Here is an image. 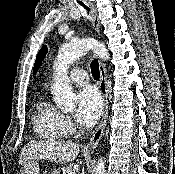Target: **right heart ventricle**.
I'll return each mask as SVG.
<instances>
[{"label":"right heart ventricle","instance_id":"e07e8e85","mask_svg":"<svg viewBox=\"0 0 175 174\" xmlns=\"http://www.w3.org/2000/svg\"><path fill=\"white\" fill-rule=\"evenodd\" d=\"M34 131L46 140H60L66 137L65 116L47 96H41L35 106Z\"/></svg>","mask_w":175,"mask_h":174}]
</instances>
